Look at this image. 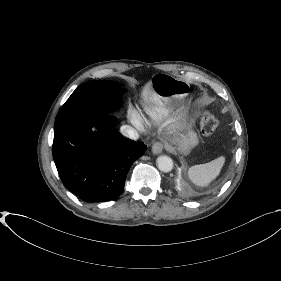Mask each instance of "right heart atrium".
I'll list each match as a JSON object with an SVG mask.
<instances>
[{
    "label": "right heart atrium",
    "mask_w": 281,
    "mask_h": 281,
    "mask_svg": "<svg viewBox=\"0 0 281 281\" xmlns=\"http://www.w3.org/2000/svg\"><path fill=\"white\" fill-rule=\"evenodd\" d=\"M130 118L133 123H135L136 125H140V121H139L138 116L135 111L130 112Z\"/></svg>",
    "instance_id": "obj_1"
}]
</instances>
